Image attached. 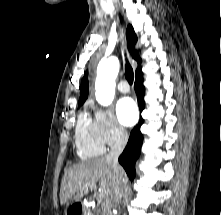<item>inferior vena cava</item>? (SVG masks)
I'll return each instance as SVG.
<instances>
[{
	"label": "inferior vena cava",
	"mask_w": 221,
	"mask_h": 215,
	"mask_svg": "<svg viewBox=\"0 0 221 215\" xmlns=\"http://www.w3.org/2000/svg\"><path fill=\"white\" fill-rule=\"evenodd\" d=\"M128 141V134L127 132L120 128L117 132V137L114 144L111 146L110 152L106 156V160L111 163L114 176L116 178V183L114 186V195L113 198L107 200L104 204V215H113V208L117 206L119 201L123 196V183L119 176V163L118 157L122 153L123 149L125 148Z\"/></svg>",
	"instance_id": "1"
}]
</instances>
